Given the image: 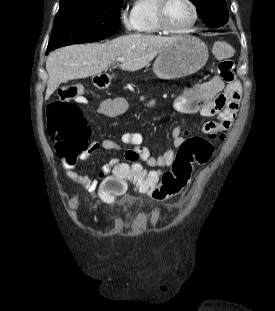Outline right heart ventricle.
<instances>
[{
	"instance_id": "1",
	"label": "right heart ventricle",
	"mask_w": 275,
	"mask_h": 311,
	"mask_svg": "<svg viewBox=\"0 0 275 311\" xmlns=\"http://www.w3.org/2000/svg\"><path fill=\"white\" fill-rule=\"evenodd\" d=\"M158 0H135L132 16L137 22V31L144 35L161 33L157 22Z\"/></svg>"
}]
</instances>
